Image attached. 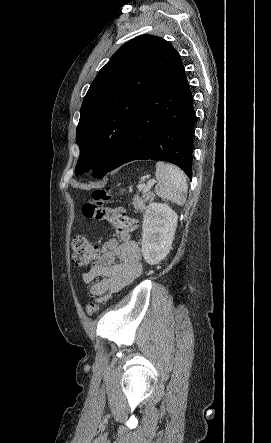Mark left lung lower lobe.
<instances>
[{
	"instance_id": "1",
	"label": "left lung lower lobe",
	"mask_w": 271,
	"mask_h": 443,
	"mask_svg": "<svg viewBox=\"0 0 271 443\" xmlns=\"http://www.w3.org/2000/svg\"><path fill=\"white\" fill-rule=\"evenodd\" d=\"M195 111L183 63L176 52L156 76L110 171L133 160H161L192 179Z\"/></svg>"
}]
</instances>
